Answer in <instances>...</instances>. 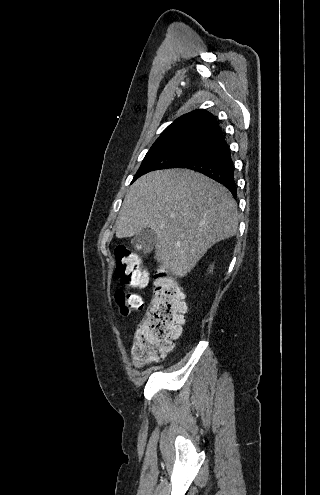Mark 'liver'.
I'll return each instance as SVG.
<instances>
[{
    "label": "liver",
    "instance_id": "liver-1",
    "mask_svg": "<svg viewBox=\"0 0 320 495\" xmlns=\"http://www.w3.org/2000/svg\"><path fill=\"white\" fill-rule=\"evenodd\" d=\"M145 228L157 235V261L182 278L214 244L236 234L237 203L227 188L198 172H150L127 192L116 237H132Z\"/></svg>",
    "mask_w": 320,
    "mask_h": 495
}]
</instances>
